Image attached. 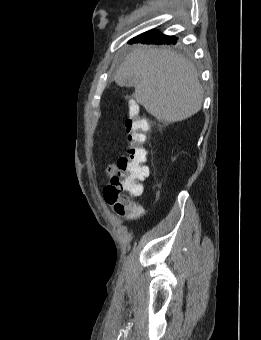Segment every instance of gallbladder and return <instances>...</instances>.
Listing matches in <instances>:
<instances>
[{
  "mask_svg": "<svg viewBox=\"0 0 261 340\" xmlns=\"http://www.w3.org/2000/svg\"><path fill=\"white\" fill-rule=\"evenodd\" d=\"M125 86L129 87V86H132V85H130V84H126Z\"/></svg>",
  "mask_w": 261,
  "mask_h": 340,
  "instance_id": "bac80fb5",
  "label": "gallbladder"
}]
</instances>
